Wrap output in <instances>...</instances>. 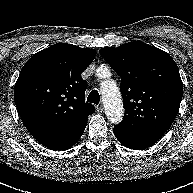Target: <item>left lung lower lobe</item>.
Returning a JSON list of instances; mask_svg holds the SVG:
<instances>
[{"mask_svg":"<svg viewBox=\"0 0 193 193\" xmlns=\"http://www.w3.org/2000/svg\"><path fill=\"white\" fill-rule=\"evenodd\" d=\"M166 131L152 130H125L114 126V134L118 141L127 148L143 150L155 144Z\"/></svg>","mask_w":193,"mask_h":193,"instance_id":"1","label":"left lung lower lobe"}]
</instances>
